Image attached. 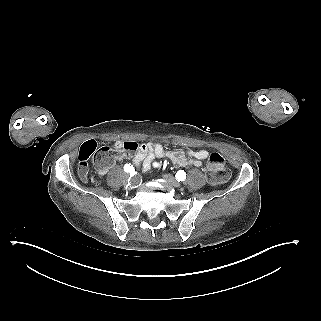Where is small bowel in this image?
Listing matches in <instances>:
<instances>
[{
    "label": "small bowel",
    "mask_w": 321,
    "mask_h": 321,
    "mask_svg": "<svg viewBox=\"0 0 321 321\" xmlns=\"http://www.w3.org/2000/svg\"><path fill=\"white\" fill-rule=\"evenodd\" d=\"M97 150V143L94 140H88L82 144L79 150V157L87 153L88 158ZM97 152L107 157L108 160L103 163H97L99 175H106L117 161L133 156V163L143 171H147L157 159L167 158L174 165L179 167L202 166L209 155L206 150L189 151H166L160 143L148 142L139 145L136 153H130L123 148L121 141H115L114 148L101 147ZM82 178V177H81ZM87 180L88 178H82Z\"/></svg>",
    "instance_id": "obj_1"
}]
</instances>
